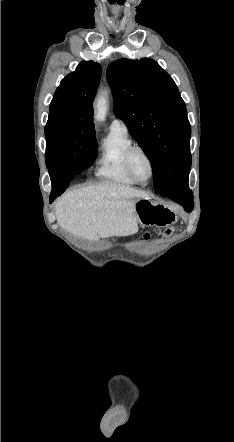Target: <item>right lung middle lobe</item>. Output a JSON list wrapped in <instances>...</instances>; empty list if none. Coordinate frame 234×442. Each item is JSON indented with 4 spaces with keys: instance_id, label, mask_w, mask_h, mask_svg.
Instances as JSON below:
<instances>
[{
    "instance_id": "1",
    "label": "right lung middle lobe",
    "mask_w": 234,
    "mask_h": 442,
    "mask_svg": "<svg viewBox=\"0 0 234 442\" xmlns=\"http://www.w3.org/2000/svg\"><path fill=\"white\" fill-rule=\"evenodd\" d=\"M45 137V160L48 169L70 162L78 174L88 168L97 156L95 131L85 130L75 121L48 120Z\"/></svg>"
}]
</instances>
